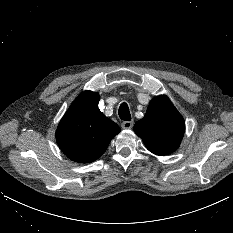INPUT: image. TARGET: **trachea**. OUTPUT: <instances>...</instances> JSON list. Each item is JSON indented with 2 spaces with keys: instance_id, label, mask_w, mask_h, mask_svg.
<instances>
[{
  "instance_id": "3493384b",
  "label": "trachea",
  "mask_w": 233,
  "mask_h": 233,
  "mask_svg": "<svg viewBox=\"0 0 233 233\" xmlns=\"http://www.w3.org/2000/svg\"><path fill=\"white\" fill-rule=\"evenodd\" d=\"M118 114L121 120L130 121L131 114L127 103H122L119 107Z\"/></svg>"
}]
</instances>
